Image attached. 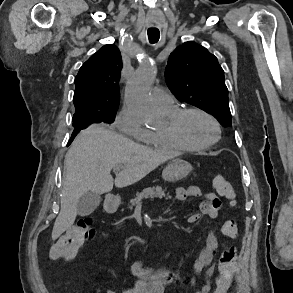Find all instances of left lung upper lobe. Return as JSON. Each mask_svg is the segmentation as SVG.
<instances>
[{
	"label": "left lung upper lobe",
	"instance_id": "left-lung-upper-lobe-1",
	"mask_svg": "<svg viewBox=\"0 0 293 293\" xmlns=\"http://www.w3.org/2000/svg\"><path fill=\"white\" fill-rule=\"evenodd\" d=\"M165 78L178 99L212 114L223 126L232 124L224 71L206 48L185 42L171 53Z\"/></svg>",
	"mask_w": 293,
	"mask_h": 293
}]
</instances>
